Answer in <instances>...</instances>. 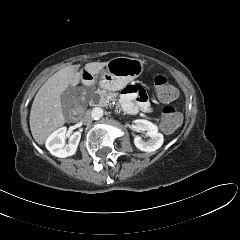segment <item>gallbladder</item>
<instances>
[{"label": "gallbladder", "mask_w": 240, "mask_h": 240, "mask_svg": "<svg viewBox=\"0 0 240 240\" xmlns=\"http://www.w3.org/2000/svg\"><path fill=\"white\" fill-rule=\"evenodd\" d=\"M76 97H77L76 89L72 86H69L67 90L61 95V101L64 110H67L74 105Z\"/></svg>", "instance_id": "obj_1"}]
</instances>
